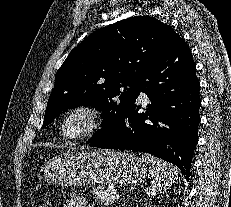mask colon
Listing matches in <instances>:
<instances>
[{
	"label": "colon",
	"instance_id": "obj_1",
	"mask_svg": "<svg viewBox=\"0 0 231 207\" xmlns=\"http://www.w3.org/2000/svg\"><path fill=\"white\" fill-rule=\"evenodd\" d=\"M37 207H52L49 200H42Z\"/></svg>",
	"mask_w": 231,
	"mask_h": 207
}]
</instances>
